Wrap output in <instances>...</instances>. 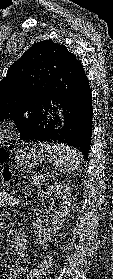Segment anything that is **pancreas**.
I'll return each instance as SVG.
<instances>
[{
  "instance_id": "cf45deb5",
  "label": "pancreas",
  "mask_w": 113,
  "mask_h": 279,
  "mask_svg": "<svg viewBox=\"0 0 113 279\" xmlns=\"http://www.w3.org/2000/svg\"><path fill=\"white\" fill-rule=\"evenodd\" d=\"M48 179V177H45L43 175H34L32 177V184L33 185H41L42 183H44L46 180Z\"/></svg>"
}]
</instances>
